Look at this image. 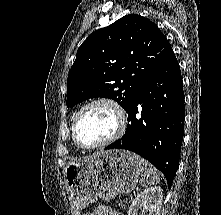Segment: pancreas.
Instances as JSON below:
<instances>
[{
    "instance_id": "pancreas-1",
    "label": "pancreas",
    "mask_w": 221,
    "mask_h": 215,
    "mask_svg": "<svg viewBox=\"0 0 221 215\" xmlns=\"http://www.w3.org/2000/svg\"><path fill=\"white\" fill-rule=\"evenodd\" d=\"M117 203H118L119 206H125L127 201L124 199V200H119Z\"/></svg>"
}]
</instances>
